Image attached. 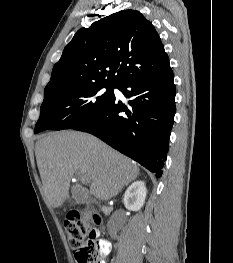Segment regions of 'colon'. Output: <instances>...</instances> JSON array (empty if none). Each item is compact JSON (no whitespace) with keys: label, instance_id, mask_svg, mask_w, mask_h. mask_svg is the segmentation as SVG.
<instances>
[{"label":"colon","instance_id":"obj_1","mask_svg":"<svg viewBox=\"0 0 233 263\" xmlns=\"http://www.w3.org/2000/svg\"><path fill=\"white\" fill-rule=\"evenodd\" d=\"M99 215L71 213L64 222L67 238L77 263H101V240L92 224H99Z\"/></svg>","mask_w":233,"mask_h":263}]
</instances>
